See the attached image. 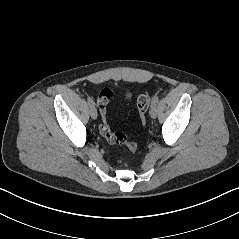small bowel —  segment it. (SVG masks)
I'll list each match as a JSON object with an SVG mask.
<instances>
[{"mask_svg": "<svg viewBox=\"0 0 239 239\" xmlns=\"http://www.w3.org/2000/svg\"><path fill=\"white\" fill-rule=\"evenodd\" d=\"M125 98H126V99H130V98H131V94H130V93H126V94H125Z\"/></svg>", "mask_w": 239, "mask_h": 239, "instance_id": "c3829d8e", "label": "small bowel"}]
</instances>
